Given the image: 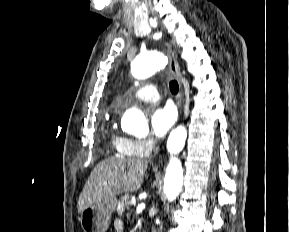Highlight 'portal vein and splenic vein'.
<instances>
[{"instance_id":"portal-vein-and-splenic-vein-1","label":"portal vein and splenic vein","mask_w":289,"mask_h":232,"mask_svg":"<svg viewBox=\"0 0 289 232\" xmlns=\"http://www.w3.org/2000/svg\"><path fill=\"white\" fill-rule=\"evenodd\" d=\"M131 204L135 206V205H136V200H135V199H132V200H131Z\"/></svg>"}]
</instances>
